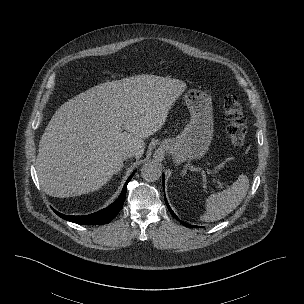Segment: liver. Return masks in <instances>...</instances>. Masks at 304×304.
I'll return each mask as SVG.
<instances>
[{
    "label": "liver",
    "mask_w": 304,
    "mask_h": 304,
    "mask_svg": "<svg viewBox=\"0 0 304 304\" xmlns=\"http://www.w3.org/2000/svg\"><path fill=\"white\" fill-rule=\"evenodd\" d=\"M185 82L140 74L101 83L54 113L41 137L36 170L44 192L65 198L100 189L123 167V154L164 125ZM124 130V131H123Z\"/></svg>",
    "instance_id": "6515ba94"
}]
</instances>
